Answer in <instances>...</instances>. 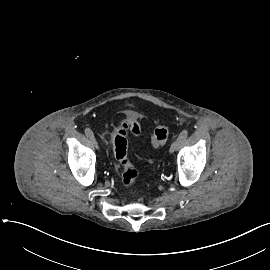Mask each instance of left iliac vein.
I'll return each instance as SVG.
<instances>
[{"label": "left iliac vein", "instance_id": "4c4485c4", "mask_svg": "<svg viewBox=\"0 0 270 270\" xmlns=\"http://www.w3.org/2000/svg\"><path fill=\"white\" fill-rule=\"evenodd\" d=\"M179 145H180L179 140L178 139L175 140L170 146V149H169L170 153L175 152L178 149Z\"/></svg>", "mask_w": 270, "mask_h": 270}]
</instances>
